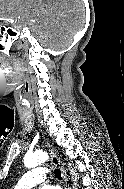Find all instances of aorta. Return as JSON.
<instances>
[{
  "instance_id": "obj_1",
  "label": "aorta",
  "mask_w": 124,
  "mask_h": 189,
  "mask_svg": "<svg viewBox=\"0 0 124 189\" xmlns=\"http://www.w3.org/2000/svg\"><path fill=\"white\" fill-rule=\"evenodd\" d=\"M48 158H49L48 154L43 151H36L34 153H28L24 157V165L27 168H34V167H37L38 165L44 163L45 161H47ZM71 174L75 176L74 181H76L77 175L75 174V172L73 170H71ZM74 185L76 186L77 183H74ZM75 189H77V188H75Z\"/></svg>"
}]
</instances>
